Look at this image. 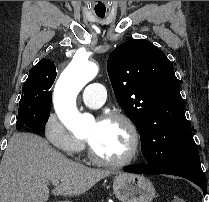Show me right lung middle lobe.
<instances>
[{"mask_svg": "<svg viewBox=\"0 0 209 202\" xmlns=\"http://www.w3.org/2000/svg\"><path fill=\"white\" fill-rule=\"evenodd\" d=\"M55 76L36 75L28 78L22 89L19 102L17 129L42 128L46 125L51 110V86Z\"/></svg>", "mask_w": 209, "mask_h": 202, "instance_id": "obj_1", "label": "right lung middle lobe"}]
</instances>
